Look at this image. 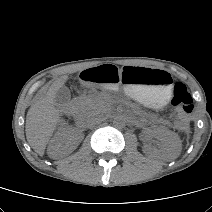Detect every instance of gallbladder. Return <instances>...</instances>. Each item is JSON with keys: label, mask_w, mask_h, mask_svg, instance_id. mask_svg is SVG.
Here are the masks:
<instances>
[{"label": "gallbladder", "mask_w": 212, "mask_h": 212, "mask_svg": "<svg viewBox=\"0 0 212 212\" xmlns=\"http://www.w3.org/2000/svg\"><path fill=\"white\" fill-rule=\"evenodd\" d=\"M70 90L65 87V86H62L59 88V90L56 92V95H55V103L58 105V106H64L65 104H67L70 100Z\"/></svg>", "instance_id": "bac80fb5"}]
</instances>
